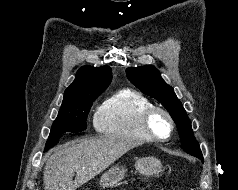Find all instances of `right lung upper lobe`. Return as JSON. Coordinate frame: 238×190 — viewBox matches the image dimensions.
I'll list each match as a JSON object with an SVG mask.
<instances>
[{"instance_id": "cb5924a9", "label": "right lung upper lobe", "mask_w": 238, "mask_h": 190, "mask_svg": "<svg viewBox=\"0 0 238 190\" xmlns=\"http://www.w3.org/2000/svg\"><path fill=\"white\" fill-rule=\"evenodd\" d=\"M112 71L109 66H83L73 83L65 90L63 104L74 101L83 95L101 94L110 84Z\"/></svg>"}]
</instances>
